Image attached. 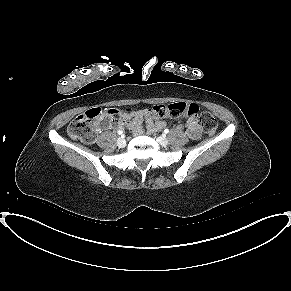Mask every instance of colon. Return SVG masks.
<instances>
[{
    "label": "colon",
    "instance_id": "obj_1",
    "mask_svg": "<svg viewBox=\"0 0 291 291\" xmlns=\"http://www.w3.org/2000/svg\"><path fill=\"white\" fill-rule=\"evenodd\" d=\"M129 112V110H127ZM198 108L194 104L174 103L168 106H155L150 110L152 118L176 117L181 115H197ZM119 115L115 109L109 108H91L83 114L76 117L68 126V133L74 139L84 142H92L96 137L99 124L103 119H114ZM200 122L204 132L207 135H213L217 130V121L209 112H203L200 115Z\"/></svg>",
    "mask_w": 291,
    "mask_h": 291
}]
</instances>
